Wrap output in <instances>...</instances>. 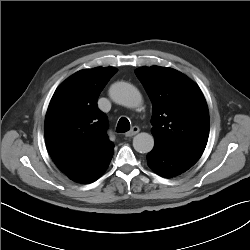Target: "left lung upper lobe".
<instances>
[{"mask_svg":"<svg viewBox=\"0 0 250 250\" xmlns=\"http://www.w3.org/2000/svg\"><path fill=\"white\" fill-rule=\"evenodd\" d=\"M135 73L153 104L155 145L202 154L209 135V112L200 88L172 68L141 67Z\"/></svg>","mask_w":250,"mask_h":250,"instance_id":"5c2ea615","label":"left lung upper lobe"}]
</instances>
